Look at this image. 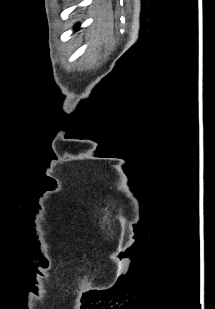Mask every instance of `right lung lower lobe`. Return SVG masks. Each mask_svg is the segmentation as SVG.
Wrapping results in <instances>:
<instances>
[{
  "label": "right lung lower lobe",
  "instance_id": "1",
  "mask_svg": "<svg viewBox=\"0 0 215 309\" xmlns=\"http://www.w3.org/2000/svg\"><path fill=\"white\" fill-rule=\"evenodd\" d=\"M78 26H79V24L77 23V24L75 25V29H78Z\"/></svg>",
  "mask_w": 215,
  "mask_h": 309
}]
</instances>
